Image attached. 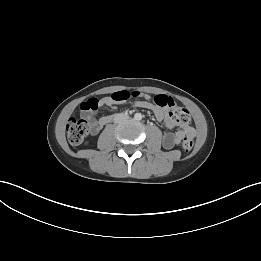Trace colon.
Returning a JSON list of instances; mask_svg holds the SVG:
<instances>
[{
	"label": "colon",
	"mask_w": 261,
	"mask_h": 261,
	"mask_svg": "<svg viewBox=\"0 0 261 261\" xmlns=\"http://www.w3.org/2000/svg\"><path fill=\"white\" fill-rule=\"evenodd\" d=\"M141 93L129 92V91H118L113 93L108 100L114 103H124L131 98H139ZM104 99L102 98H90L83 102L80 106L82 113L85 117L80 119L71 118L66 126L67 137L71 144H80L90 130L88 117L91 112L95 111ZM153 101L161 108L170 109V117L178 123L187 124L190 122V114L187 109L181 106H175L172 98L165 95H157L153 98ZM194 145V141L191 136L184 138L182 142V151L185 155L190 154Z\"/></svg>",
	"instance_id": "obj_1"
}]
</instances>
